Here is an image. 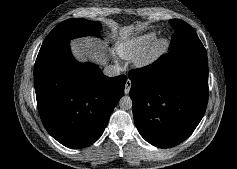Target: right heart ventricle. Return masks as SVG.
I'll use <instances>...</instances> for the list:
<instances>
[{
    "label": "right heart ventricle",
    "mask_w": 237,
    "mask_h": 169,
    "mask_svg": "<svg viewBox=\"0 0 237 169\" xmlns=\"http://www.w3.org/2000/svg\"><path fill=\"white\" fill-rule=\"evenodd\" d=\"M156 32L150 31L132 39L126 40L118 49V54L123 59L134 60L155 40Z\"/></svg>",
    "instance_id": "1"
}]
</instances>
